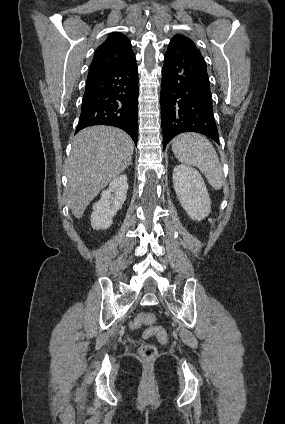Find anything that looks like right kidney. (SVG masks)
<instances>
[{
    "instance_id": "right-kidney-1",
    "label": "right kidney",
    "mask_w": 285,
    "mask_h": 424,
    "mask_svg": "<svg viewBox=\"0 0 285 424\" xmlns=\"http://www.w3.org/2000/svg\"><path fill=\"white\" fill-rule=\"evenodd\" d=\"M128 183L125 174L115 177L109 187L102 192L101 199L93 205L91 226L96 230L108 229L113 217L122 208L127 197Z\"/></svg>"
}]
</instances>
